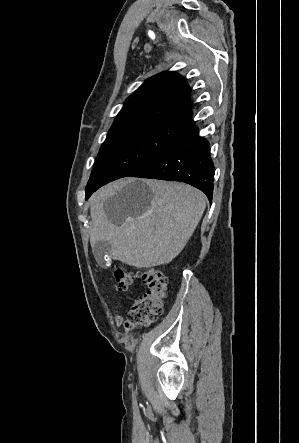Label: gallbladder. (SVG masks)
<instances>
[{
  "mask_svg": "<svg viewBox=\"0 0 299 443\" xmlns=\"http://www.w3.org/2000/svg\"><path fill=\"white\" fill-rule=\"evenodd\" d=\"M110 249L111 245L108 241H99L93 246V255L100 266H105V257Z\"/></svg>",
  "mask_w": 299,
  "mask_h": 443,
  "instance_id": "gallbladder-1",
  "label": "gallbladder"
}]
</instances>
